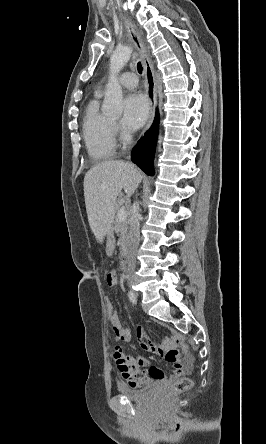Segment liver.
Segmentation results:
<instances>
[{
    "label": "liver",
    "instance_id": "liver-1",
    "mask_svg": "<svg viewBox=\"0 0 266 444\" xmlns=\"http://www.w3.org/2000/svg\"><path fill=\"white\" fill-rule=\"evenodd\" d=\"M141 178L136 166L122 160L99 163L85 174L84 197L88 221L99 243L111 232L118 194L124 189L131 196Z\"/></svg>",
    "mask_w": 266,
    "mask_h": 444
}]
</instances>
